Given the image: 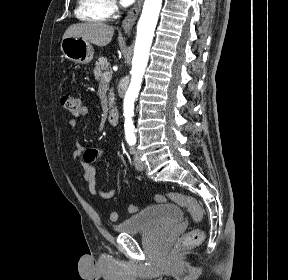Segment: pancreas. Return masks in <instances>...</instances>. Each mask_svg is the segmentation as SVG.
<instances>
[{
	"instance_id": "cf45deb5",
	"label": "pancreas",
	"mask_w": 288,
	"mask_h": 280,
	"mask_svg": "<svg viewBox=\"0 0 288 280\" xmlns=\"http://www.w3.org/2000/svg\"><path fill=\"white\" fill-rule=\"evenodd\" d=\"M109 70V63L106 58L100 57L98 61L95 63V69H94V76L97 81L100 83H104V74L106 71ZM114 92L113 89H110L109 95H108V103L109 107H111L114 104Z\"/></svg>"
}]
</instances>
